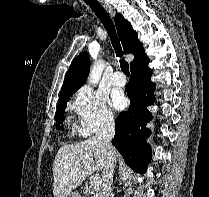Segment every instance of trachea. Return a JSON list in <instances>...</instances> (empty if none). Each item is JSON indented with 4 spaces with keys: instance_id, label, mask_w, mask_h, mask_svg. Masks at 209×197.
Segmentation results:
<instances>
[{
    "instance_id": "1",
    "label": "trachea",
    "mask_w": 209,
    "mask_h": 197,
    "mask_svg": "<svg viewBox=\"0 0 209 197\" xmlns=\"http://www.w3.org/2000/svg\"><path fill=\"white\" fill-rule=\"evenodd\" d=\"M85 2L89 5V7L93 10V12L96 14V16L99 18L105 29L107 30V33L111 39L112 45L114 47V50L116 52V55L118 57H122V48L120 45V42L118 40V37L116 35V30L114 23L112 19L110 18L109 14L106 12V10L101 6V4L96 0H85ZM121 70L129 76V64L121 59Z\"/></svg>"
}]
</instances>
